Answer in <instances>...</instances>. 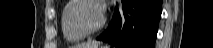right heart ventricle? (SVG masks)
Instances as JSON below:
<instances>
[{"label": "right heart ventricle", "instance_id": "right-heart-ventricle-1", "mask_svg": "<svg viewBox=\"0 0 213 48\" xmlns=\"http://www.w3.org/2000/svg\"><path fill=\"white\" fill-rule=\"evenodd\" d=\"M73 2L74 0L66 1V3L64 4L61 12V23H60L61 31L65 40L71 43L81 41L84 37L72 27L69 21L68 14Z\"/></svg>", "mask_w": 213, "mask_h": 48}]
</instances>
